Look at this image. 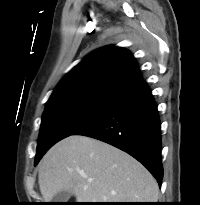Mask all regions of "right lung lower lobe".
I'll return each mask as SVG.
<instances>
[{"label": "right lung lower lobe", "instance_id": "obj_1", "mask_svg": "<svg viewBox=\"0 0 200 205\" xmlns=\"http://www.w3.org/2000/svg\"><path fill=\"white\" fill-rule=\"evenodd\" d=\"M73 135L99 139L126 151L161 185V126L157 105L145 81L126 90L102 115Z\"/></svg>", "mask_w": 200, "mask_h": 205}]
</instances>
